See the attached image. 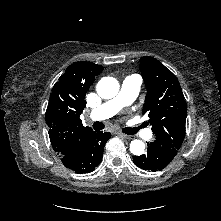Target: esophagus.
I'll return each instance as SVG.
<instances>
[{
    "mask_svg": "<svg viewBox=\"0 0 221 221\" xmlns=\"http://www.w3.org/2000/svg\"><path fill=\"white\" fill-rule=\"evenodd\" d=\"M121 137L125 138V139H128V140H131L133 136L131 135H127V134H124V133H118Z\"/></svg>",
    "mask_w": 221,
    "mask_h": 221,
    "instance_id": "obj_1",
    "label": "esophagus"
}]
</instances>
